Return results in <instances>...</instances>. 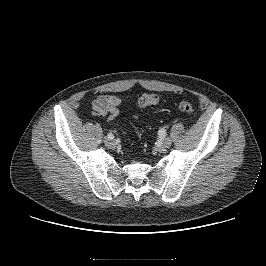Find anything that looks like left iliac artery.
<instances>
[{"instance_id": "44dca946", "label": "left iliac artery", "mask_w": 266, "mask_h": 266, "mask_svg": "<svg viewBox=\"0 0 266 266\" xmlns=\"http://www.w3.org/2000/svg\"><path fill=\"white\" fill-rule=\"evenodd\" d=\"M158 140H163V138L166 136V130L164 128H161L157 134Z\"/></svg>"}]
</instances>
